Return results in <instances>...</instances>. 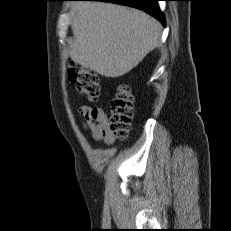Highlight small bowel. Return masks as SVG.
Segmentation results:
<instances>
[{"label":"small bowel","instance_id":"obj_1","mask_svg":"<svg viewBox=\"0 0 231 231\" xmlns=\"http://www.w3.org/2000/svg\"><path fill=\"white\" fill-rule=\"evenodd\" d=\"M79 112L82 115V126L89 131L92 138L111 141V127L105 111L99 107L81 106Z\"/></svg>","mask_w":231,"mask_h":231}]
</instances>
